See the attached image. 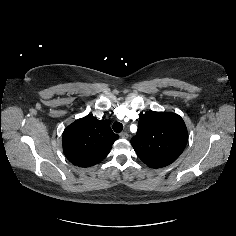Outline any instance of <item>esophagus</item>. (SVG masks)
<instances>
[{"instance_id":"esophagus-1","label":"esophagus","mask_w":236,"mask_h":236,"mask_svg":"<svg viewBox=\"0 0 236 236\" xmlns=\"http://www.w3.org/2000/svg\"><path fill=\"white\" fill-rule=\"evenodd\" d=\"M129 137L128 133L127 132H122L120 133V138L122 139H127Z\"/></svg>"}]
</instances>
